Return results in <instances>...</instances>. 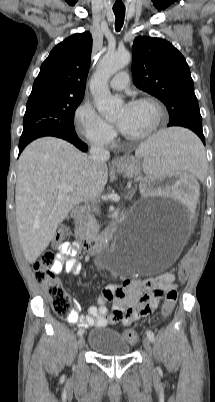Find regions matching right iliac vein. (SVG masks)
<instances>
[{"label":"right iliac vein","mask_w":215,"mask_h":402,"mask_svg":"<svg viewBox=\"0 0 215 402\" xmlns=\"http://www.w3.org/2000/svg\"><path fill=\"white\" fill-rule=\"evenodd\" d=\"M83 346H84V337H83V336H80L79 339H78V341H77V348H78V349H82Z\"/></svg>","instance_id":"63e3f726"}]
</instances>
